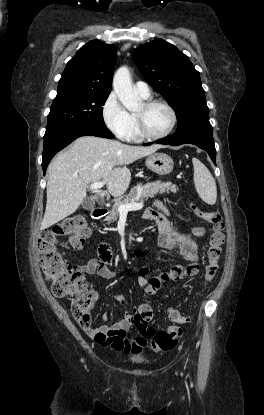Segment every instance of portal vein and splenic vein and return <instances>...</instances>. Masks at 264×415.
<instances>
[{
  "label": "portal vein and splenic vein",
  "instance_id": "1",
  "mask_svg": "<svg viewBox=\"0 0 264 415\" xmlns=\"http://www.w3.org/2000/svg\"><path fill=\"white\" fill-rule=\"evenodd\" d=\"M103 181H98L95 183H92L90 185V189L98 192L101 197H103L105 194L101 192V188L104 186ZM143 207V202H132L128 204H122L118 207L119 214H127L129 211H135L140 210Z\"/></svg>",
  "mask_w": 264,
  "mask_h": 415
}]
</instances>
